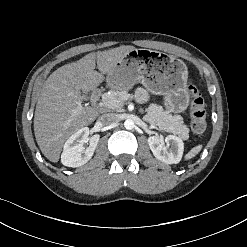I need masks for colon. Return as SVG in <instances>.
Wrapping results in <instances>:
<instances>
[{"label":"colon","instance_id":"colon-1","mask_svg":"<svg viewBox=\"0 0 247 247\" xmlns=\"http://www.w3.org/2000/svg\"><path fill=\"white\" fill-rule=\"evenodd\" d=\"M190 96L191 127L195 134L201 135L206 129V109L202 97L192 82L187 85Z\"/></svg>","mask_w":247,"mask_h":247}]
</instances>
